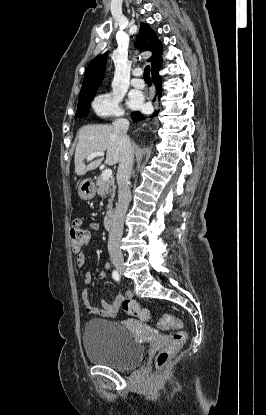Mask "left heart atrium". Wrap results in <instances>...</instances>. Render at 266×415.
<instances>
[{
  "label": "left heart atrium",
  "mask_w": 266,
  "mask_h": 415,
  "mask_svg": "<svg viewBox=\"0 0 266 415\" xmlns=\"http://www.w3.org/2000/svg\"><path fill=\"white\" fill-rule=\"evenodd\" d=\"M142 104V98L140 96L135 97L132 101H131V105L133 107H139Z\"/></svg>",
  "instance_id": "1"
}]
</instances>
